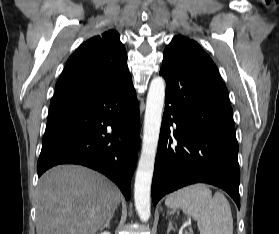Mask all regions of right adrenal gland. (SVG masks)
Returning a JSON list of instances; mask_svg holds the SVG:
<instances>
[{"mask_svg":"<svg viewBox=\"0 0 279 234\" xmlns=\"http://www.w3.org/2000/svg\"><path fill=\"white\" fill-rule=\"evenodd\" d=\"M113 215L110 217V219L105 223L104 227H110V221L112 220Z\"/></svg>","mask_w":279,"mask_h":234,"instance_id":"2a0ac1e0","label":"right adrenal gland"}]
</instances>
